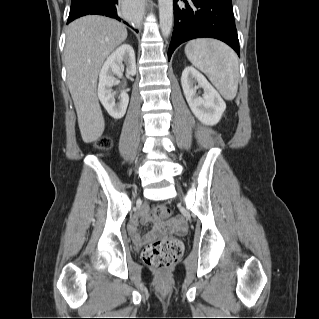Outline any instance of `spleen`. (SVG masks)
I'll return each instance as SVG.
<instances>
[{"mask_svg": "<svg viewBox=\"0 0 319 319\" xmlns=\"http://www.w3.org/2000/svg\"><path fill=\"white\" fill-rule=\"evenodd\" d=\"M188 60L207 75L226 100L235 98L238 90L239 63L236 53L213 39H195L185 46Z\"/></svg>", "mask_w": 319, "mask_h": 319, "instance_id": "3e777b00", "label": "spleen"}]
</instances>
